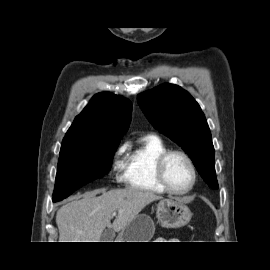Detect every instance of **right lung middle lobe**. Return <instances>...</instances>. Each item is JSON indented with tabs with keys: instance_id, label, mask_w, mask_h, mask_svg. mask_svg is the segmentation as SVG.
Wrapping results in <instances>:
<instances>
[{
	"instance_id": "obj_1",
	"label": "right lung middle lobe",
	"mask_w": 270,
	"mask_h": 270,
	"mask_svg": "<svg viewBox=\"0 0 270 270\" xmlns=\"http://www.w3.org/2000/svg\"><path fill=\"white\" fill-rule=\"evenodd\" d=\"M119 142L63 141L58 160L53 202L61 201L111 168Z\"/></svg>"
}]
</instances>
